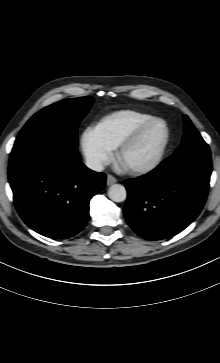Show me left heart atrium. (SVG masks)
Wrapping results in <instances>:
<instances>
[{
    "label": "left heart atrium",
    "instance_id": "left-heart-atrium-1",
    "mask_svg": "<svg viewBox=\"0 0 220 363\" xmlns=\"http://www.w3.org/2000/svg\"><path fill=\"white\" fill-rule=\"evenodd\" d=\"M122 168H126V166L122 164Z\"/></svg>",
    "mask_w": 220,
    "mask_h": 363
}]
</instances>
